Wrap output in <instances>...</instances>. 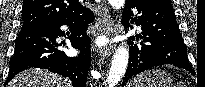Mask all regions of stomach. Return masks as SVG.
Masks as SVG:
<instances>
[{"instance_id": "0dacf381", "label": "stomach", "mask_w": 205, "mask_h": 87, "mask_svg": "<svg viewBox=\"0 0 205 87\" xmlns=\"http://www.w3.org/2000/svg\"><path fill=\"white\" fill-rule=\"evenodd\" d=\"M171 76L159 69H151L138 75L129 87H171Z\"/></svg>"}]
</instances>
